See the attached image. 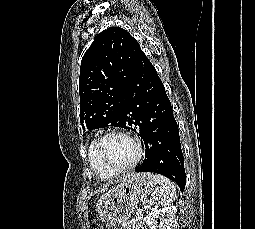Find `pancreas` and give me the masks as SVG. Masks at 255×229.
<instances>
[{"label":"pancreas","instance_id":"obj_1","mask_svg":"<svg viewBox=\"0 0 255 229\" xmlns=\"http://www.w3.org/2000/svg\"><path fill=\"white\" fill-rule=\"evenodd\" d=\"M142 219V215L137 213L131 223L124 226V229H142Z\"/></svg>","mask_w":255,"mask_h":229}]
</instances>
